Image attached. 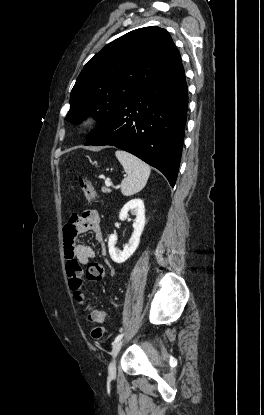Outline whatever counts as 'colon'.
I'll return each mask as SVG.
<instances>
[{
    "mask_svg": "<svg viewBox=\"0 0 264 415\" xmlns=\"http://www.w3.org/2000/svg\"><path fill=\"white\" fill-rule=\"evenodd\" d=\"M79 184L82 192L88 201H94L96 199V191L86 177H79ZM66 273L68 276L69 286L73 291L77 302L80 304L85 303L84 293L82 288V267L76 262L71 261L67 264ZM105 269L99 263H89L85 269V277L90 281H100L104 278ZM86 319L89 325L92 326L91 337L97 341H104V329L99 325L103 322L104 315L101 311L86 306Z\"/></svg>",
    "mask_w": 264,
    "mask_h": 415,
    "instance_id": "1",
    "label": "colon"
}]
</instances>
